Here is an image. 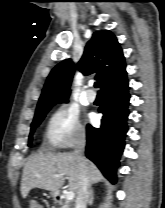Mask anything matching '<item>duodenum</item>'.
Here are the masks:
<instances>
[{"instance_id":"1","label":"duodenum","mask_w":165,"mask_h":208,"mask_svg":"<svg viewBox=\"0 0 165 208\" xmlns=\"http://www.w3.org/2000/svg\"><path fill=\"white\" fill-rule=\"evenodd\" d=\"M54 198L59 201V202H62L63 201V198H62V195L60 192H55L54 193Z\"/></svg>"}]
</instances>
